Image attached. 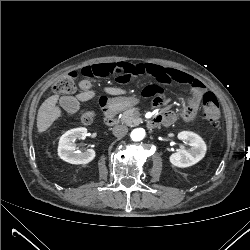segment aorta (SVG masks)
<instances>
[{
    "label": "aorta",
    "instance_id": "obj_1",
    "mask_svg": "<svg viewBox=\"0 0 250 250\" xmlns=\"http://www.w3.org/2000/svg\"><path fill=\"white\" fill-rule=\"evenodd\" d=\"M131 139L133 141H140L144 138L145 136V131L141 128L139 129H134L132 132H131Z\"/></svg>",
    "mask_w": 250,
    "mask_h": 250
}]
</instances>
